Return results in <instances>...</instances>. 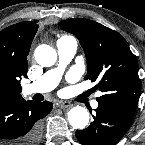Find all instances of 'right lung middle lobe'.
I'll return each instance as SVG.
<instances>
[{
	"label": "right lung middle lobe",
	"mask_w": 145,
	"mask_h": 145,
	"mask_svg": "<svg viewBox=\"0 0 145 145\" xmlns=\"http://www.w3.org/2000/svg\"><path fill=\"white\" fill-rule=\"evenodd\" d=\"M9 81L4 73L0 72V100H5L9 94Z\"/></svg>",
	"instance_id": "right-lung-middle-lobe-1"
}]
</instances>
